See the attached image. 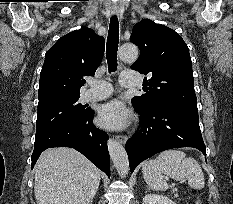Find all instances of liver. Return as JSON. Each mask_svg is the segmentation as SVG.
<instances>
[{
	"label": "liver",
	"instance_id": "obj_1",
	"mask_svg": "<svg viewBox=\"0 0 233 204\" xmlns=\"http://www.w3.org/2000/svg\"><path fill=\"white\" fill-rule=\"evenodd\" d=\"M99 184V170L72 148H49L35 165L37 204H89Z\"/></svg>",
	"mask_w": 233,
	"mask_h": 204
}]
</instances>
